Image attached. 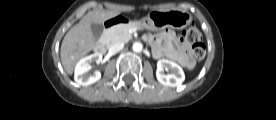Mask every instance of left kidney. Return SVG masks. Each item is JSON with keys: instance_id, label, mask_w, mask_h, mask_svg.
<instances>
[{"instance_id": "5707ae66", "label": "left kidney", "mask_w": 276, "mask_h": 120, "mask_svg": "<svg viewBox=\"0 0 276 120\" xmlns=\"http://www.w3.org/2000/svg\"><path fill=\"white\" fill-rule=\"evenodd\" d=\"M169 69L171 74H165L164 70ZM157 80L165 86L177 87L185 80L182 68L173 61L161 59L157 62Z\"/></svg>"}]
</instances>
